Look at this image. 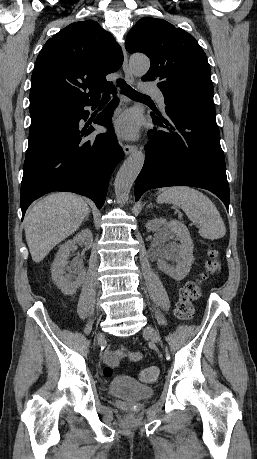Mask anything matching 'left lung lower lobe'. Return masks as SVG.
<instances>
[{
    "label": "left lung lower lobe",
    "mask_w": 257,
    "mask_h": 459,
    "mask_svg": "<svg viewBox=\"0 0 257 459\" xmlns=\"http://www.w3.org/2000/svg\"><path fill=\"white\" fill-rule=\"evenodd\" d=\"M165 98V117L151 114L145 163L135 183V200L152 188L187 185L204 188L229 207L224 153L212 98L187 99L177 105Z\"/></svg>",
    "instance_id": "0a47b994"
}]
</instances>
